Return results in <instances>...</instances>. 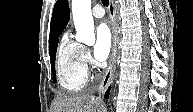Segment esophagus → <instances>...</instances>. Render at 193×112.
<instances>
[{
    "label": "esophagus",
    "mask_w": 193,
    "mask_h": 112,
    "mask_svg": "<svg viewBox=\"0 0 193 112\" xmlns=\"http://www.w3.org/2000/svg\"><path fill=\"white\" fill-rule=\"evenodd\" d=\"M109 16H110V23H111V31H112V48L109 57L108 67L104 73L102 81L99 85V98L103 97V94L107 90L110 81L112 79L115 66H116V58H117V43H118V32H117V21H116V8H115V1H109Z\"/></svg>",
    "instance_id": "1"
}]
</instances>
